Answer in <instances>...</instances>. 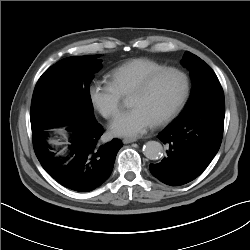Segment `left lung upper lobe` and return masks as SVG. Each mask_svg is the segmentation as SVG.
Here are the masks:
<instances>
[{
  "mask_svg": "<svg viewBox=\"0 0 250 250\" xmlns=\"http://www.w3.org/2000/svg\"><path fill=\"white\" fill-rule=\"evenodd\" d=\"M181 64L190 71L192 91L185 109L177 119L213 102L224 100V93L216 74L202 59L186 51Z\"/></svg>",
  "mask_w": 250,
  "mask_h": 250,
  "instance_id": "obj_1",
  "label": "left lung upper lobe"
}]
</instances>
